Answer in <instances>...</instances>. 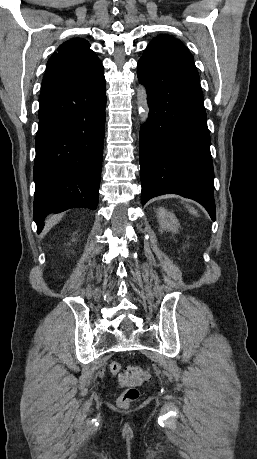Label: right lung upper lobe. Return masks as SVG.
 Segmentation results:
<instances>
[{
  "mask_svg": "<svg viewBox=\"0 0 257 459\" xmlns=\"http://www.w3.org/2000/svg\"><path fill=\"white\" fill-rule=\"evenodd\" d=\"M103 75V65L81 38L60 45L47 63L41 94L75 87Z\"/></svg>",
  "mask_w": 257,
  "mask_h": 459,
  "instance_id": "cb5924a9",
  "label": "right lung upper lobe"
}]
</instances>
